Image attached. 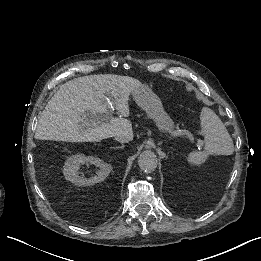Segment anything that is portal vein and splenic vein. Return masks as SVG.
<instances>
[{"mask_svg": "<svg viewBox=\"0 0 261 261\" xmlns=\"http://www.w3.org/2000/svg\"><path fill=\"white\" fill-rule=\"evenodd\" d=\"M109 119V116L108 115H105L104 117V120H108ZM86 126H90V127H96L98 126L97 122H95L94 120H89L86 122ZM178 131V134L181 136V135H185L187 134V137L192 141V142H195L197 140V137L192 133V132H189L188 130H185V129H177ZM198 144L200 146H203L205 144V141L203 139H200L198 141Z\"/></svg>", "mask_w": 261, "mask_h": 261, "instance_id": "1", "label": "portal vein and splenic vein"}]
</instances>
